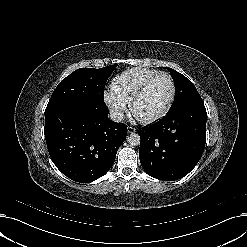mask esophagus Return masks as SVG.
<instances>
[{
    "label": "esophagus",
    "mask_w": 247,
    "mask_h": 247,
    "mask_svg": "<svg viewBox=\"0 0 247 247\" xmlns=\"http://www.w3.org/2000/svg\"><path fill=\"white\" fill-rule=\"evenodd\" d=\"M134 132H136V129H135L134 127H132V126H128V127H127V133H128V134H132V133H134Z\"/></svg>",
    "instance_id": "esophagus-1"
}]
</instances>
